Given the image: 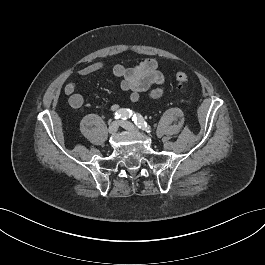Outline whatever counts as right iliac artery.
<instances>
[{
    "label": "right iliac artery",
    "mask_w": 265,
    "mask_h": 265,
    "mask_svg": "<svg viewBox=\"0 0 265 265\" xmlns=\"http://www.w3.org/2000/svg\"><path fill=\"white\" fill-rule=\"evenodd\" d=\"M131 115H132V110H130V109H119V110L115 113V119L126 120V119L129 118Z\"/></svg>",
    "instance_id": "82829eb1"
}]
</instances>
